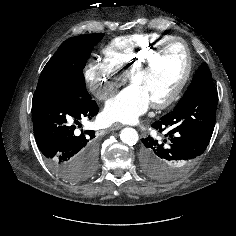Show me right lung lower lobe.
Here are the masks:
<instances>
[{
	"label": "right lung lower lobe",
	"instance_id": "1",
	"mask_svg": "<svg viewBox=\"0 0 236 236\" xmlns=\"http://www.w3.org/2000/svg\"><path fill=\"white\" fill-rule=\"evenodd\" d=\"M99 111L91 98L57 92H35L32 119L36 143L50 166L71 181L77 168L97 159L95 131H79L82 119H91Z\"/></svg>",
	"mask_w": 236,
	"mask_h": 236
}]
</instances>
